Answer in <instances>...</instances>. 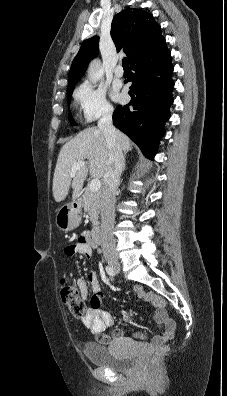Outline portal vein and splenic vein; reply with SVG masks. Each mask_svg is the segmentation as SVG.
<instances>
[{
	"label": "portal vein and splenic vein",
	"mask_w": 227,
	"mask_h": 396,
	"mask_svg": "<svg viewBox=\"0 0 227 396\" xmlns=\"http://www.w3.org/2000/svg\"><path fill=\"white\" fill-rule=\"evenodd\" d=\"M85 165H86V162H84V161L75 163L71 169L70 175L73 177L75 175V172L78 169H80L81 167H84ZM100 187H101V181L98 178L92 179L91 182L89 183V189L93 192L99 191Z\"/></svg>",
	"instance_id": "1"
}]
</instances>
